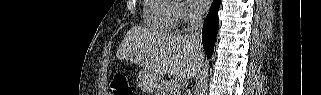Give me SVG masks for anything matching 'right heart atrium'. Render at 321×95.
Masks as SVG:
<instances>
[{
  "label": "right heart atrium",
  "mask_w": 321,
  "mask_h": 95,
  "mask_svg": "<svg viewBox=\"0 0 321 95\" xmlns=\"http://www.w3.org/2000/svg\"><path fill=\"white\" fill-rule=\"evenodd\" d=\"M173 3V13L177 21L189 22L195 18L193 11L182 1H171Z\"/></svg>",
  "instance_id": "right-heart-atrium-1"
}]
</instances>
